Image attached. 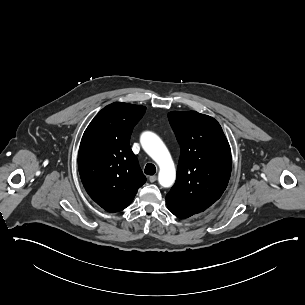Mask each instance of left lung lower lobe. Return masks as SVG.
Returning a JSON list of instances; mask_svg holds the SVG:
<instances>
[{"mask_svg":"<svg viewBox=\"0 0 305 305\" xmlns=\"http://www.w3.org/2000/svg\"><path fill=\"white\" fill-rule=\"evenodd\" d=\"M167 206H168V209L175 215L177 216L178 218H181V219H185V218H188L192 215H194L193 213L191 212H188V211H184L174 205H171V204H168L167 203Z\"/></svg>","mask_w":305,"mask_h":305,"instance_id":"0a47b994","label":"left lung lower lobe"}]
</instances>
